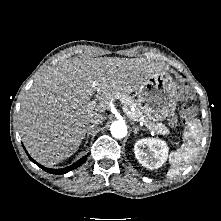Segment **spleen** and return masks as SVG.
Wrapping results in <instances>:
<instances>
[{
  "label": "spleen",
  "mask_w": 221,
  "mask_h": 221,
  "mask_svg": "<svg viewBox=\"0 0 221 221\" xmlns=\"http://www.w3.org/2000/svg\"><path fill=\"white\" fill-rule=\"evenodd\" d=\"M200 140L199 120H194L189 126V131L181 148L170 153L169 162L171 167L167 173L168 177L178 175L189 166L198 154Z\"/></svg>",
  "instance_id": "obj_1"
}]
</instances>
